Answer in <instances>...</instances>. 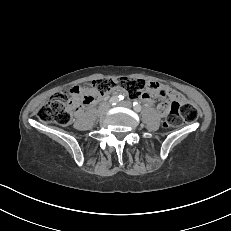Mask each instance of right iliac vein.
I'll use <instances>...</instances> for the list:
<instances>
[{"mask_svg": "<svg viewBox=\"0 0 231 231\" xmlns=\"http://www.w3.org/2000/svg\"><path fill=\"white\" fill-rule=\"evenodd\" d=\"M106 110H107V107L101 108V109L99 110V114H100V115H103V114L106 112Z\"/></svg>", "mask_w": 231, "mask_h": 231, "instance_id": "1", "label": "right iliac vein"}]
</instances>
